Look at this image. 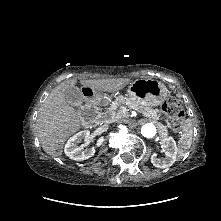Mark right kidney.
<instances>
[{
	"mask_svg": "<svg viewBox=\"0 0 221 221\" xmlns=\"http://www.w3.org/2000/svg\"><path fill=\"white\" fill-rule=\"evenodd\" d=\"M89 138L90 132L88 130L80 131L74 136L70 137L64 148L66 156L77 161L86 160L94 156V148L83 150V147L78 146V144L81 143L82 140L86 141ZM102 141L103 139H101L100 143H102Z\"/></svg>",
	"mask_w": 221,
	"mask_h": 221,
	"instance_id": "obj_1",
	"label": "right kidney"
}]
</instances>
